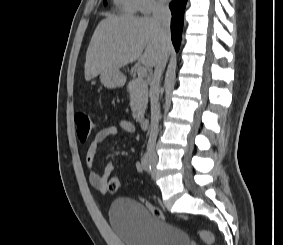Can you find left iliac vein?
I'll return each instance as SVG.
<instances>
[{"label": "left iliac vein", "mask_w": 283, "mask_h": 245, "mask_svg": "<svg viewBox=\"0 0 283 245\" xmlns=\"http://www.w3.org/2000/svg\"><path fill=\"white\" fill-rule=\"evenodd\" d=\"M151 164H152L151 177L154 179V178H155V169H154V167H155V162H154L153 159L151 160Z\"/></svg>", "instance_id": "4c4485c4"}]
</instances>
